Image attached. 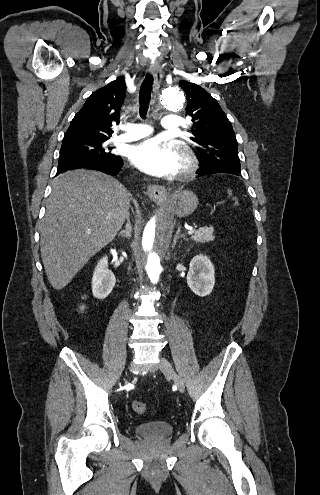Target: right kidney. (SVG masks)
<instances>
[{
	"label": "right kidney",
	"mask_w": 320,
	"mask_h": 495,
	"mask_svg": "<svg viewBox=\"0 0 320 495\" xmlns=\"http://www.w3.org/2000/svg\"><path fill=\"white\" fill-rule=\"evenodd\" d=\"M116 283L115 275L108 269V258L102 257L93 273L92 292L97 299H105Z\"/></svg>",
	"instance_id": "ca27d5eb"
}]
</instances>
